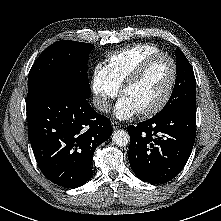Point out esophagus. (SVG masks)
<instances>
[{
	"instance_id": "34e87169",
	"label": "esophagus",
	"mask_w": 221,
	"mask_h": 221,
	"mask_svg": "<svg viewBox=\"0 0 221 221\" xmlns=\"http://www.w3.org/2000/svg\"><path fill=\"white\" fill-rule=\"evenodd\" d=\"M111 123H112L113 129H119L122 127V125L117 121H112Z\"/></svg>"
}]
</instances>
